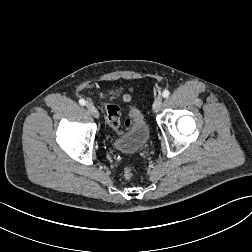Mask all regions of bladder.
Segmentation results:
<instances>
[{"label": "bladder", "mask_w": 252, "mask_h": 252, "mask_svg": "<svg viewBox=\"0 0 252 252\" xmlns=\"http://www.w3.org/2000/svg\"><path fill=\"white\" fill-rule=\"evenodd\" d=\"M150 139V126L143 115L137 109L129 110L126 118V132L117 138L112 147L121 153H135L146 146Z\"/></svg>", "instance_id": "bladder-1"}]
</instances>
